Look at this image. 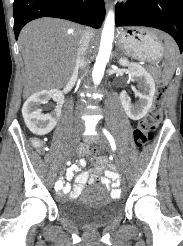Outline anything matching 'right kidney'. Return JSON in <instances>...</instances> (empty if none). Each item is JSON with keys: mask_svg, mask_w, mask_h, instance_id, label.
<instances>
[{"mask_svg": "<svg viewBox=\"0 0 183 246\" xmlns=\"http://www.w3.org/2000/svg\"><path fill=\"white\" fill-rule=\"evenodd\" d=\"M50 98L57 102V106L51 113L43 114L40 105L48 103ZM63 103L64 95L58 89L43 90L31 95L22 107V115L28 129L40 136L51 132L61 115Z\"/></svg>", "mask_w": 183, "mask_h": 246, "instance_id": "ca27d5eb", "label": "right kidney"}]
</instances>
